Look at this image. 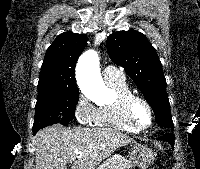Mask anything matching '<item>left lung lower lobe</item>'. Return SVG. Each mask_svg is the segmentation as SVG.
<instances>
[{"label":"left lung lower lobe","instance_id":"0a47b994","mask_svg":"<svg viewBox=\"0 0 200 169\" xmlns=\"http://www.w3.org/2000/svg\"><path fill=\"white\" fill-rule=\"evenodd\" d=\"M159 139L168 142L172 147H174V137L172 134H165L161 136Z\"/></svg>","mask_w":200,"mask_h":169}]
</instances>
